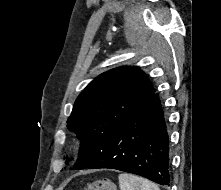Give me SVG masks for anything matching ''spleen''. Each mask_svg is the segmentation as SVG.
I'll use <instances>...</instances> for the list:
<instances>
[{
	"label": "spleen",
	"mask_w": 221,
	"mask_h": 190,
	"mask_svg": "<svg viewBox=\"0 0 221 190\" xmlns=\"http://www.w3.org/2000/svg\"><path fill=\"white\" fill-rule=\"evenodd\" d=\"M119 186L121 190H160L155 183L127 173L119 175Z\"/></svg>",
	"instance_id": "spleen-1"
}]
</instances>
